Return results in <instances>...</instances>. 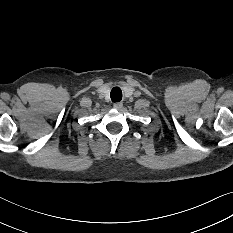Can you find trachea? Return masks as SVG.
Instances as JSON below:
<instances>
[{"instance_id":"3493384b","label":"trachea","mask_w":233,"mask_h":233,"mask_svg":"<svg viewBox=\"0 0 233 233\" xmlns=\"http://www.w3.org/2000/svg\"><path fill=\"white\" fill-rule=\"evenodd\" d=\"M122 99V92L119 88H113L111 91V100L113 102H119Z\"/></svg>"}]
</instances>
